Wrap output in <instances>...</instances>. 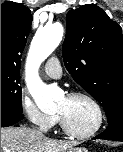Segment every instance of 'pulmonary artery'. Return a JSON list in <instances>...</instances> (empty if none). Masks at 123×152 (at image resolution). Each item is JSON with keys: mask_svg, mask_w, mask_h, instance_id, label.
Segmentation results:
<instances>
[{"mask_svg": "<svg viewBox=\"0 0 123 152\" xmlns=\"http://www.w3.org/2000/svg\"><path fill=\"white\" fill-rule=\"evenodd\" d=\"M44 71L51 78H60L62 75V69L58 58H49L44 65Z\"/></svg>", "mask_w": 123, "mask_h": 152, "instance_id": "pulmonary-artery-1", "label": "pulmonary artery"}]
</instances>
